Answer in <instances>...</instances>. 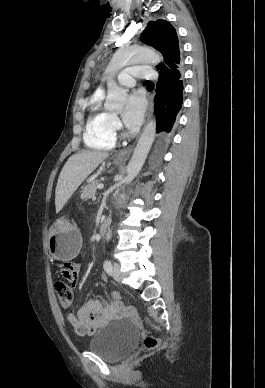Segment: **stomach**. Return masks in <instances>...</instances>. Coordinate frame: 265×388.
I'll return each mask as SVG.
<instances>
[{"instance_id": "1", "label": "stomach", "mask_w": 265, "mask_h": 388, "mask_svg": "<svg viewBox=\"0 0 265 388\" xmlns=\"http://www.w3.org/2000/svg\"><path fill=\"white\" fill-rule=\"evenodd\" d=\"M115 164L122 159H115ZM81 243L80 233L76 225L66 218L57 219L50 228L49 251L58 260L66 261L74 258Z\"/></svg>"}]
</instances>
